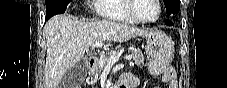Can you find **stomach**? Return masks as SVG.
<instances>
[{"label": "stomach", "instance_id": "0dacf381", "mask_svg": "<svg viewBox=\"0 0 227 88\" xmlns=\"http://www.w3.org/2000/svg\"><path fill=\"white\" fill-rule=\"evenodd\" d=\"M146 53L151 58L149 70L153 74L162 73L170 64L174 46L172 40L162 31H151L146 36Z\"/></svg>", "mask_w": 227, "mask_h": 88}]
</instances>
